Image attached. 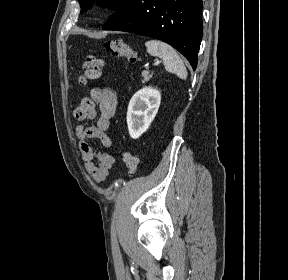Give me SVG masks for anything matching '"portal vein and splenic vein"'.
<instances>
[{"mask_svg": "<svg viewBox=\"0 0 288 280\" xmlns=\"http://www.w3.org/2000/svg\"><path fill=\"white\" fill-rule=\"evenodd\" d=\"M160 62L159 61H156L155 63H154V65H158Z\"/></svg>", "mask_w": 288, "mask_h": 280, "instance_id": "obj_1", "label": "portal vein and splenic vein"}]
</instances>
